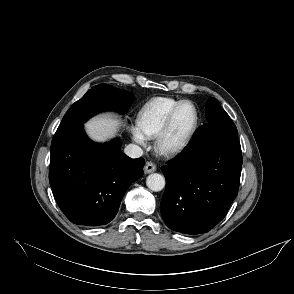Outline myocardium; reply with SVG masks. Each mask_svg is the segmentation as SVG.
I'll return each mask as SVG.
<instances>
[{
  "instance_id": "1",
  "label": "myocardium",
  "mask_w": 294,
  "mask_h": 294,
  "mask_svg": "<svg viewBox=\"0 0 294 294\" xmlns=\"http://www.w3.org/2000/svg\"><path fill=\"white\" fill-rule=\"evenodd\" d=\"M185 104H190L193 106L195 110V122L186 136V138L178 145L175 146H166L165 145V139L173 125L174 119L180 110V108L185 105ZM200 125V111L197 107V105L191 101V100H182L180 101L167 115L165 121L163 122L162 126L158 130L156 136H155V142H154V147L156 152L163 156V157H175L183 153L191 144L198 128Z\"/></svg>"
}]
</instances>
